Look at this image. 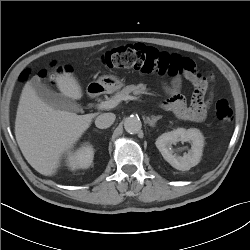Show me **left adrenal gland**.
Returning <instances> with one entry per match:
<instances>
[{
  "label": "left adrenal gland",
  "instance_id": "left-adrenal-gland-1",
  "mask_svg": "<svg viewBox=\"0 0 250 250\" xmlns=\"http://www.w3.org/2000/svg\"><path fill=\"white\" fill-rule=\"evenodd\" d=\"M162 116L159 115V116H151V119L149 117H147V123L151 126V127H154L156 122L161 119Z\"/></svg>",
  "mask_w": 250,
  "mask_h": 250
}]
</instances>
